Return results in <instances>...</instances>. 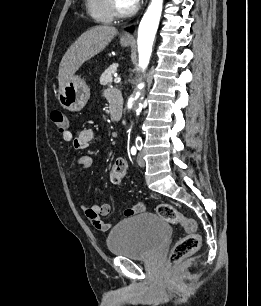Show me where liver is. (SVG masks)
Instances as JSON below:
<instances>
[{"label":"liver","instance_id":"obj_1","mask_svg":"<svg viewBox=\"0 0 261 306\" xmlns=\"http://www.w3.org/2000/svg\"><path fill=\"white\" fill-rule=\"evenodd\" d=\"M117 33V29L109 25H99L84 32L69 47L60 62L59 87L71 81L82 64L103 51Z\"/></svg>","mask_w":261,"mask_h":306}]
</instances>
